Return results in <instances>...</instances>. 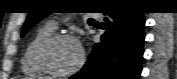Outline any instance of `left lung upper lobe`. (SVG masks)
Segmentation results:
<instances>
[{"instance_id":"5c2ea615","label":"left lung upper lobe","mask_w":177,"mask_h":79,"mask_svg":"<svg viewBox=\"0 0 177 79\" xmlns=\"http://www.w3.org/2000/svg\"><path fill=\"white\" fill-rule=\"evenodd\" d=\"M40 2L41 3H39V4H46V3H42V2H46V1H40ZM48 14H50V13L43 6H38L33 11H31L29 13V15H28V18H27L24 26H23V30H22V35L21 36H24L26 34V32L32 26H34L38 21H40L41 19L46 17Z\"/></svg>"}]
</instances>
